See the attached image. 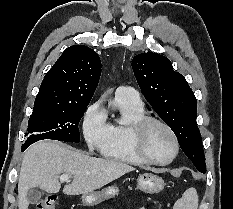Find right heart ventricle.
<instances>
[{
	"label": "right heart ventricle",
	"instance_id": "e07e8e85",
	"mask_svg": "<svg viewBox=\"0 0 233 209\" xmlns=\"http://www.w3.org/2000/svg\"><path fill=\"white\" fill-rule=\"evenodd\" d=\"M113 107L122 115V121L109 125V134L106 142L101 146V154L113 161L142 166L144 162L136 154L132 143V126L145 116L144 106L115 96Z\"/></svg>",
	"mask_w": 233,
	"mask_h": 209
}]
</instances>
